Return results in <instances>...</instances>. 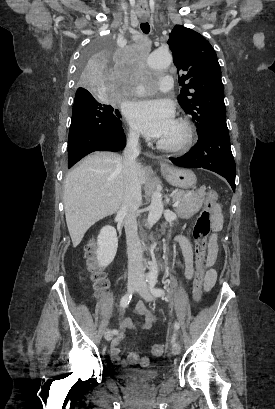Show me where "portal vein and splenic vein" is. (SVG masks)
Masks as SVG:
<instances>
[{"instance_id": "portal-vein-and-splenic-vein-1", "label": "portal vein and splenic vein", "mask_w": 275, "mask_h": 409, "mask_svg": "<svg viewBox=\"0 0 275 409\" xmlns=\"http://www.w3.org/2000/svg\"><path fill=\"white\" fill-rule=\"evenodd\" d=\"M110 194H111V192H110ZM178 205H179V202H178V200H177V202H174L173 207H178Z\"/></svg>"}]
</instances>
